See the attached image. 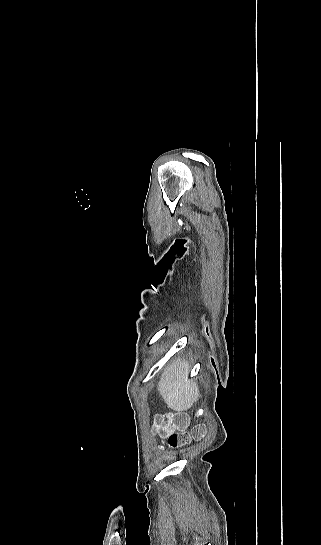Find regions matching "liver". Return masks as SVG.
I'll return each mask as SVG.
<instances>
[{"label": "liver", "mask_w": 321, "mask_h": 545, "mask_svg": "<svg viewBox=\"0 0 321 545\" xmlns=\"http://www.w3.org/2000/svg\"><path fill=\"white\" fill-rule=\"evenodd\" d=\"M189 369V363L185 359L174 363L163 373L158 383V391L166 405L177 413L188 411L199 397L196 383H191L188 379Z\"/></svg>", "instance_id": "1"}]
</instances>
